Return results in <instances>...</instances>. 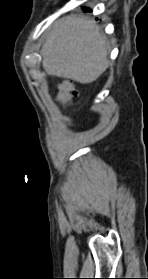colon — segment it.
Listing matches in <instances>:
<instances>
[{
	"instance_id": "obj_1",
	"label": "colon",
	"mask_w": 148,
	"mask_h": 279,
	"mask_svg": "<svg viewBox=\"0 0 148 279\" xmlns=\"http://www.w3.org/2000/svg\"><path fill=\"white\" fill-rule=\"evenodd\" d=\"M55 94L57 98L65 99L68 97L75 96L77 94V91L72 81L63 80L61 83L57 85Z\"/></svg>"
}]
</instances>
